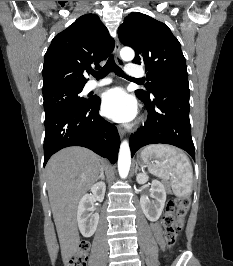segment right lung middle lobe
Instances as JSON below:
<instances>
[{"label": "right lung middle lobe", "mask_w": 233, "mask_h": 266, "mask_svg": "<svg viewBox=\"0 0 233 266\" xmlns=\"http://www.w3.org/2000/svg\"><path fill=\"white\" fill-rule=\"evenodd\" d=\"M82 89H62L43 94L45 117L66 108L82 107L88 104L90 99H85L80 95Z\"/></svg>", "instance_id": "right-lung-middle-lobe-1"}]
</instances>
